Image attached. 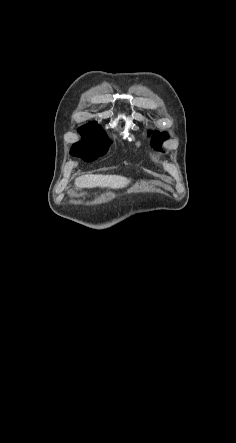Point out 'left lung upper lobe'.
<instances>
[{
    "mask_svg": "<svg viewBox=\"0 0 236 443\" xmlns=\"http://www.w3.org/2000/svg\"><path fill=\"white\" fill-rule=\"evenodd\" d=\"M168 138V134L166 132L160 133V132H154L153 133V139H152V146L160 150V144L162 141L166 140Z\"/></svg>",
    "mask_w": 236,
    "mask_h": 443,
    "instance_id": "5c2ea615",
    "label": "left lung upper lobe"
}]
</instances>
